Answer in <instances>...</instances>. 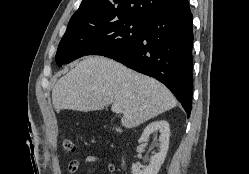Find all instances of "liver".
I'll return each instance as SVG.
<instances>
[{
  "mask_svg": "<svg viewBox=\"0 0 249 174\" xmlns=\"http://www.w3.org/2000/svg\"><path fill=\"white\" fill-rule=\"evenodd\" d=\"M56 110H102L110 104L122 109V125L134 128L177 105L159 81L112 59L89 56L60 78L52 90Z\"/></svg>",
  "mask_w": 249,
  "mask_h": 174,
  "instance_id": "1",
  "label": "liver"
}]
</instances>
